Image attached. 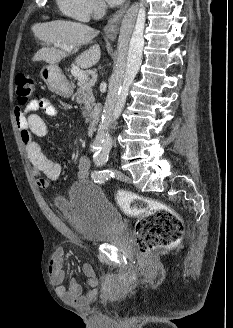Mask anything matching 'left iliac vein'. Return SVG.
I'll use <instances>...</instances> for the list:
<instances>
[{
  "label": "left iliac vein",
  "instance_id": "1",
  "mask_svg": "<svg viewBox=\"0 0 233 328\" xmlns=\"http://www.w3.org/2000/svg\"><path fill=\"white\" fill-rule=\"evenodd\" d=\"M114 175L119 180H122V181H125V182H130L131 181V179L127 175H125L123 172H121L117 169L114 170Z\"/></svg>",
  "mask_w": 233,
  "mask_h": 328
}]
</instances>
